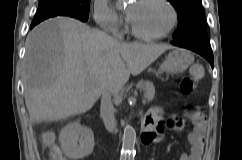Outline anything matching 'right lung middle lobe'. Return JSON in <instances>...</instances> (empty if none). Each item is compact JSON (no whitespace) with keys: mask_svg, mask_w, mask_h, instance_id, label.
<instances>
[{"mask_svg":"<svg viewBox=\"0 0 242 160\" xmlns=\"http://www.w3.org/2000/svg\"><path fill=\"white\" fill-rule=\"evenodd\" d=\"M91 0H39V6L31 25L55 16H69L86 22Z\"/></svg>","mask_w":242,"mask_h":160,"instance_id":"dd1d6c3e","label":"right lung middle lobe"}]
</instances>
